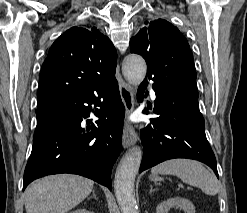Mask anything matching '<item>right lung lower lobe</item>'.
<instances>
[{
  "mask_svg": "<svg viewBox=\"0 0 247 213\" xmlns=\"http://www.w3.org/2000/svg\"><path fill=\"white\" fill-rule=\"evenodd\" d=\"M91 105L100 109L94 111ZM90 112L99 120L84 127L82 120ZM124 113L116 78L94 91L65 93L38 104L23 190L33 180L57 173L82 175L111 190V171L121 150Z\"/></svg>",
  "mask_w": 247,
  "mask_h": 213,
  "instance_id": "obj_1",
  "label": "right lung lower lobe"
}]
</instances>
